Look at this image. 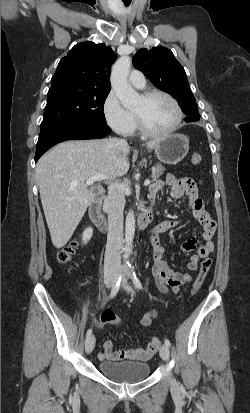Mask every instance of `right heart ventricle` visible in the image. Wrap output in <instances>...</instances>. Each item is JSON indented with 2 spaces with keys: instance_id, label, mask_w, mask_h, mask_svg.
<instances>
[{
  "instance_id": "obj_1",
  "label": "right heart ventricle",
  "mask_w": 250,
  "mask_h": 413,
  "mask_svg": "<svg viewBox=\"0 0 250 413\" xmlns=\"http://www.w3.org/2000/svg\"><path fill=\"white\" fill-rule=\"evenodd\" d=\"M133 116H134V121H135V123H134V130H133V132L136 130V128H137V121H136V117H135V115L133 114Z\"/></svg>"
}]
</instances>
